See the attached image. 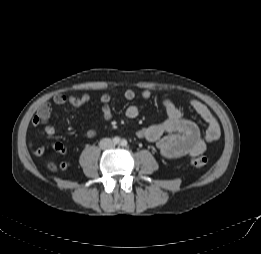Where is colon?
<instances>
[{
	"label": "colon",
	"instance_id": "1",
	"mask_svg": "<svg viewBox=\"0 0 261 254\" xmlns=\"http://www.w3.org/2000/svg\"><path fill=\"white\" fill-rule=\"evenodd\" d=\"M207 163H208V158L205 156H194L190 158V164L195 168H202L205 165H207ZM46 167L51 171L57 169V166L52 162L47 163Z\"/></svg>",
	"mask_w": 261,
	"mask_h": 254
}]
</instances>
